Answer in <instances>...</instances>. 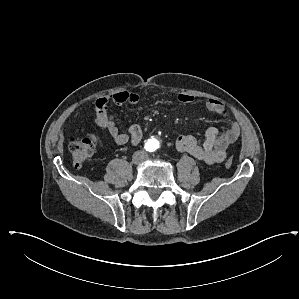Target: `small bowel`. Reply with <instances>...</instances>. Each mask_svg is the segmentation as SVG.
Masks as SVG:
<instances>
[{
    "label": "small bowel",
    "instance_id": "obj_1",
    "mask_svg": "<svg viewBox=\"0 0 299 299\" xmlns=\"http://www.w3.org/2000/svg\"><path fill=\"white\" fill-rule=\"evenodd\" d=\"M139 100L140 95L137 92L129 91H120L111 96L96 99L97 124L116 144L123 145L129 142L132 146H137L142 140L143 131L139 125L132 124L128 128V134L121 132L117 127L116 116L109 111V105H133ZM178 101L188 105L194 102V97L181 94L178 96ZM204 110L223 119L225 123L223 132L219 133L216 127L208 128L203 143H199L192 135H179L175 140V146L177 150L189 153L204 163H220L226 157L228 146L240 136V127L231 120L226 108L215 99L206 100Z\"/></svg>",
    "mask_w": 299,
    "mask_h": 299
}]
</instances>
